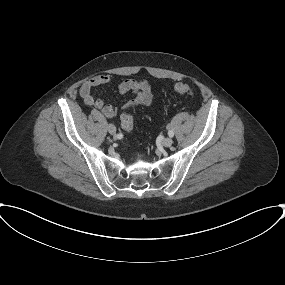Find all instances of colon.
I'll return each instance as SVG.
<instances>
[{
	"mask_svg": "<svg viewBox=\"0 0 285 285\" xmlns=\"http://www.w3.org/2000/svg\"><path fill=\"white\" fill-rule=\"evenodd\" d=\"M174 90L182 95H192L194 93V88L186 83H177L174 86ZM122 128L126 131H131L134 126L133 115L131 113H124L121 116Z\"/></svg>",
	"mask_w": 285,
	"mask_h": 285,
	"instance_id": "1",
	"label": "colon"
}]
</instances>
